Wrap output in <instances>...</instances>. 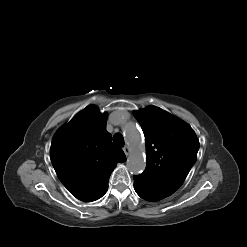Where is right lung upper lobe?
Returning <instances> with one entry per match:
<instances>
[{
    "instance_id": "right-lung-upper-lobe-1",
    "label": "right lung upper lobe",
    "mask_w": 247,
    "mask_h": 247,
    "mask_svg": "<svg viewBox=\"0 0 247 247\" xmlns=\"http://www.w3.org/2000/svg\"><path fill=\"white\" fill-rule=\"evenodd\" d=\"M106 119V113L88 106L52 139L50 157L59 179L84 202L99 199L108 188L116 164L126 161L122 149L111 142Z\"/></svg>"
}]
</instances>
